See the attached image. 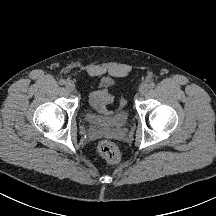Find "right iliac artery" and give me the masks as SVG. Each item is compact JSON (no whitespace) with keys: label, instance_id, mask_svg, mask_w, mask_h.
Here are the masks:
<instances>
[{"label":"right iliac artery","instance_id":"1","mask_svg":"<svg viewBox=\"0 0 216 216\" xmlns=\"http://www.w3.org/2000/svg\"><path fill=\"white\" fill-rule=\"evenodd\" d=\"M59 84H60V85H64V84H65V80H64V79H60V80H59Z\"/></svg>","mask_w":216,"mask_h":216}]
</instances>
